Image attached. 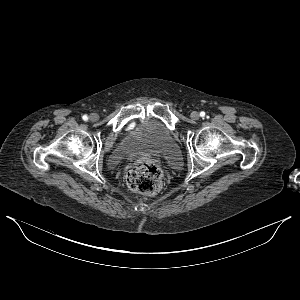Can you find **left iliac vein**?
Instances as JSON below:
<instances>
[{
  "mask_svg": "<svg viewBox=\"0 0 300 300\" xmlns=\"http://www.w3.org/2000/svg\"><path fill=\"white\" fill-rule=\"evenodd\" d=\"M190 117H191L192 120L197 121L200 118V115H199V113L197 111H193L190 114Z\"/></svg>",
  "mask_w": 300,
  "mask_h": 300,
  "instance_id": "1",
  "label": "left iliac vein"
}]
</instances>
